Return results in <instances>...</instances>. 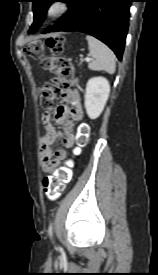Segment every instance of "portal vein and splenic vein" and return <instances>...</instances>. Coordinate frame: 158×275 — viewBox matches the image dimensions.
I'll use <instances>...</instances> for the list:
<instances>
[{"mask_svg": "<svg viewBox=\"0 0 158 275\" xmlns=\"http://www.w3.org/2000/svg\"><path fill=\"white\" fill-rule=\"evenodd\" d=\"M92 60V58H90V57H86L85 58V61H87V62H89V61H91Z\"/></svg>", "mask_w": 158, "mask_h": 275, "instance_id": "obj_1", "label": "portal vein and splenic vein"}]
</instances>
